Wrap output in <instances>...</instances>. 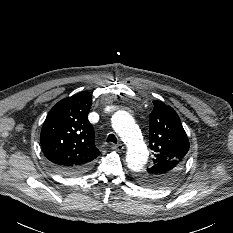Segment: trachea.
<instances>
[{
	"label": "trachea",
	"mask_w": 233,
	"mask_h": 233,
	"mask_svg": "<svg viewBox=\"0 0 233 233\" xmlns=\"http://www.w3.org/2000/svg\"><path fill=\"white\" fill-rule=\"evenodd\" d=\"M107 141H112V142H114V143H117L116 136H115L114 134H110V135L108 136Z\"/></svg>",
	"instance_id": "3493384b"
}]
</instances>
